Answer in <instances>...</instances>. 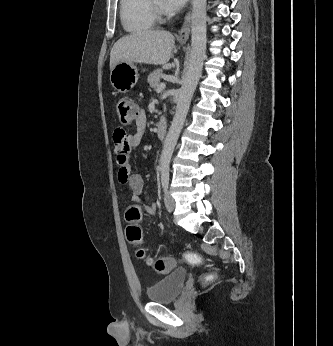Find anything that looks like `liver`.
I'll return each instance as SVG.
<instances>
[{"instance_id": "6515ba94", "label": "liver", "mask_w": 333, "mask_h": 346, "mask_svg": "<svg viewBox=\"0 0 333 346\" xmlns=\"http://www.w3.org/2000/svg\"><path fill=\"white\" fill-rule=\"evenodd\" d=\"M175 38L167 31H141L120 38L110 53V69L120 62L166 65Z\"/></svg>"}]
</instances>
